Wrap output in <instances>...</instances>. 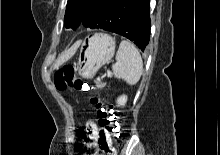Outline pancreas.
Here are the masks:
<instances>
[{
	"label": "pancreas",
	"mask_w": 220,
	"mask_h": 155,
	"mask_svg": "<svg viewBox=\"0 0 220 155\" xmlns=\"http://www.w3.org/2000/svg\"><path fill=\"white\" fill-rule=\"evenodd\" d=\"M97 86L99 87V88H102L104 85L102 84V83H97Z\"/></svg>",
	"instance_id": "1"
}]
</instances>
